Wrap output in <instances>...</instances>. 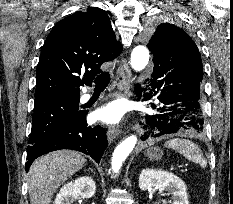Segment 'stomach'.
Masks as SVG:
<instances>
[{"mask_svg": "<svg viewBox=\"0 0 233 204\" xmlns=\"http://www.w3.org/2000/svg\"><path fill=\"white\" fill-rule=\"evenodd\" d=\"M145 155L150 159V160H160L162 158L163 155V151L161 149H159L158 147H149L146 152Z\"/></svg>", "mask_w": 233, "mask_h": 204, "instance_id": "obj_1", "label": "stomach"}]
</instances>
